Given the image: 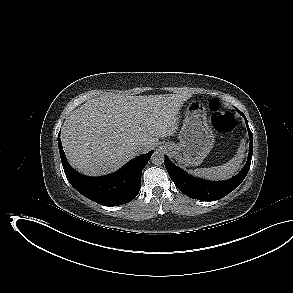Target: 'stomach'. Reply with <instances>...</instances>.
<instances>
[{
  "instance_id": "obj_1",
  "label": "stomach",
  "mask_w": 293,
  "mask_h": 293,
  "mask_svg": "<svg viewBox=\"0 0 293 293\" xmlns=\"http://www.w3.org/2000/svg\"><path fill=\"white\" fill-rule=\"evenodd\" d=\"M214 142L204 105L193 101L187 108L179 134V143L167 142L164 149L178 163L184 166H198L211 151Z\"/></svg>"
}]
</instances>
